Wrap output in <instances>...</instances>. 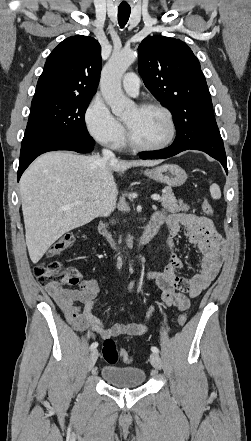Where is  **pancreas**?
Wrapping results in <instances>:
<instances>
[{
	"label": "pancreas",
	"mask_w": 251,
	"mask_h": 441,
	"mask_svg": "<svg viewBox=\"0 0 251 441\" xmlns=\"http://www.w3.org/2000/svg\"><path fill=\"white\" fill-rule=\"evenodd\" d=\"M160 202L163 208L171 213H177L180 211L187 212L190 209V207L187 204H184L182 200H176L170 187L164 189Z\"/></svg>",
	"instance_id": "pancreas-1"
}]
</instances>
